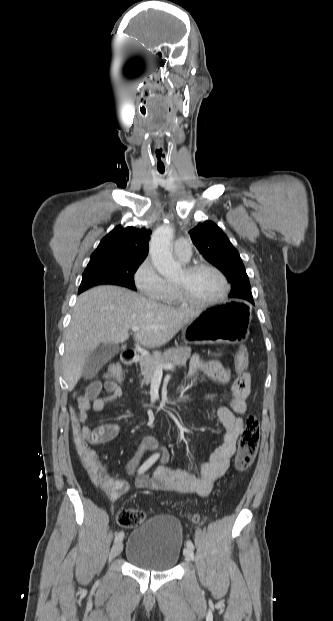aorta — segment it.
I'll use <instances>...</instances> for the list:
<instances>
[{
	"instance_id": "762f6f07",
	"label": "aorta",
	"mask_w": 333,
	"mask_h": 621,
	"mask_svg": "<svg viewBox=\"0 0 333 621\" xmlns=\"http://www.w3.org/2000/svg\"><path fill=\"white\" fill-rule=\"evenodd\" d=\"M173 228L163 225L156 229L150 240V255L157 271L165 278L181 274V265L174 261L170 245L173 239Z\"/></svg>"
}]
</instances>
